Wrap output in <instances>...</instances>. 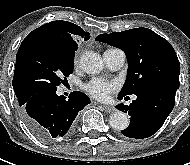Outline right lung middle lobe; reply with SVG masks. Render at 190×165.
Wrapping results in <instances>:
<instances>
[{"mask_svg":"<svg viewBox=\"0 0 190 165\" xmlns=\"http://www.w3.org/2000/svg\"><path fill=\"white\" fill-rule=\"evenodd\" d=\"M76 50V45L59 39L41 35L26 37L16 56L13 77L18 101L44 90L57 89L73 72Z\"/></svg>","mask_w":190,"mask_h":165,"instance_id":"obj_1","label":"right lung middle lobe"}]
</instances>
